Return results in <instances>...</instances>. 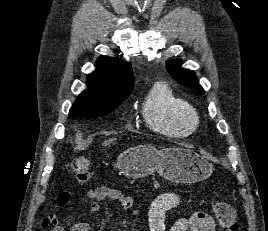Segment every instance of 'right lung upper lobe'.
<instances>
[{
  "label": "right lung upper lobe",
  "instance_id": "right-lung-upper-lobe-1",
  "mask_svg": "<svg viewBox=\"0 0 268 231\" xmlns=\"http://www.w3.org/2000/svg\"><path fill=\"white\" fill-rule=\"evenodd\" d=\"M95 66L96 71L87 75L88 89L75 103H116L124 101L131 94L135 79L130 63L119 58L102 56Z\"/></svg>",
  "mask_w": 268,
  "mask_h": 231
}]
</instances>
